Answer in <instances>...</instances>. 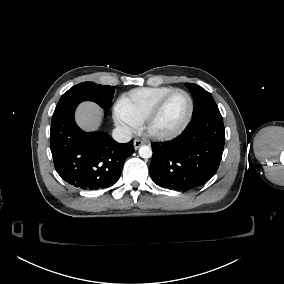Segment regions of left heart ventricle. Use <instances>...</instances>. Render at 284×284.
I'll return each mask as SVG.
<instances>
[{"label":"left heart ventricle","mask_w":284,"mask_h":284,"mask_svg":"<svg viewBox=\"0 0 284 284\" xmlns=\"http://www.w3.org/2000/svg\"><path fill=\"white\" fill-rule=\"evenodd\" d=\"M189 101L183 92H176L165 102L162 110L152 120L150 129L156 134H168L177 130L187 117Z\"/></svg>","instance_id":"left-heart-ventricle-1"}]
</instances>
